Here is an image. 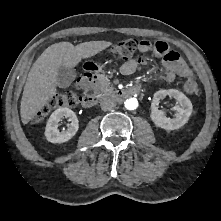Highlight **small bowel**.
Returning <instances> with one entry per match:
<instances>
[{"mask_svg": "<svg viewBox=\"0 0 221 221\" xmlns=\"http://www.w3.org/2000/svg\"><path fill=\"white\" fill-rule=\"evenodd\" d=\"M153 48V53L156 56L162 57V64L166 70L165 81L172 82L176 78V76L182 78L191 77L193 72L185 60L180 57V55L171 51L166 42L158 41L154 46L146 40L141 41V45L139 47V51L141 53L148 52ZM143 60H128L121 65L120 71L124 75H130L136 71L139 67V64L142 63Z\"/></svg>", "mask_w": 221, "mask_h": 221, "instance_id": "1", "label": "small bowel"}]
</instances>
